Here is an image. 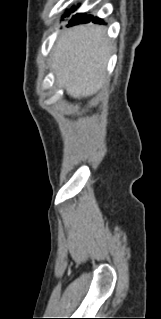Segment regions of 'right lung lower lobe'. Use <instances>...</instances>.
Returning <instances> with one entry per match:
<instances>
[{"mask_svg":"<svg viewBox=\"0 0 161 319\" xmlns=\"http://www.w3.org/2000/svg\"><path fill=\"white\" fill-rule=\"evenodd\" d=\"M91 19H92V17H90L89 19H85V20L81 21L80 23H87V22H89ZM92 21L95 22V23H99V24H102V23H103V20L100 19V18H97V17L94 18ZM78 24H79V23H78Z\"/></svg>","mask_w":161,"mask_h":319,"instance_id":"obj_1","label":"right lung lower lobe"}]
</instances>
